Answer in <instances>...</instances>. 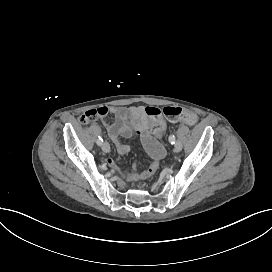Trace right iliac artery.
<instances>
[{"label":"right iliac artery","instance_id":"obj_1","mask_svg":"<svg viewBox=\"0 0 272 272\" xmlns=\"http://www.w3.org/2000/svg\"><path fill=\"white\" fill-rule=\"evenodd\" d=\"M102 142H103V139H102V137L99 136V138H98V140H97V144H98V145H101Z\"/></svg>","mask_w":272,"mask_h":272}]
</instances>
